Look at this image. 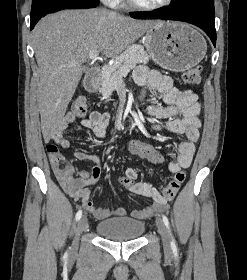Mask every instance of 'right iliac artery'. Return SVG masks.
I'll return each mask as SVG.
<instances>
[{
	"label": "right iliac artery",
	"instance_id": "82829eb1",
	"mask_svg": "<svg viewBox=\"0 0 247 280\" xmlns=\"http://www.w3.org/2000/svg\"><path fill=\"white\" fill-rule=\"evenodd\" d=\"M82 216V210H79L77 213H76V221H78Z\"/></svg>",
	"mask_w": 247,
	"mask_h": 280
}]
</instances>
